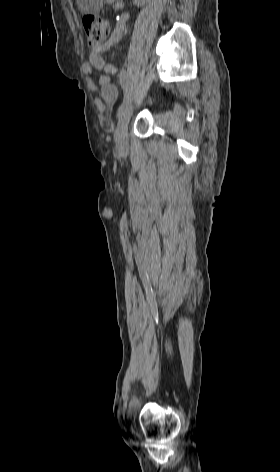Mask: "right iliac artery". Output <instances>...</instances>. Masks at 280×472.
Returning a JSON list of instances; mask_svg holds the SVG:
<instances>
[{"mask_svg":"<svg viewBox=\"0 0 280 472\" xmlns=\"http://www.w3.org/2000/svg\"><path fill=\"white\" fill-rule=\"evenodd\" d=\"M119 80H120V84L123 88L124 99H123L122 104L118 108L117 117H120L121 113L127 107V105L130 102V99H131V94H130L129 83H128V78H127L126 71L123 70V71L120 72Z\"/></svg>","mask_w":280,"mask_h":472,"instance_id":"82829eb1","label":"right iliac artery"}]
</instances>
